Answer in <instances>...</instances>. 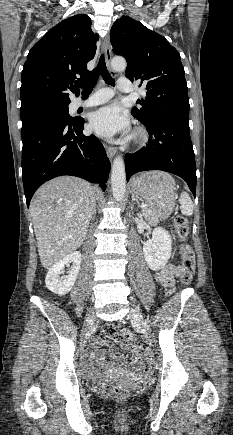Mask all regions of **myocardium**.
Masks as SVG:
<instances>
[{
  "mask_svg": "<svg viewBox=\"0 0 233 435\" xmlns=\"http://www.w3.org/2000/svg\"><path fill=\"white\" fill-rule=\"evenodd\" d=\"M147 138H148L147 132L142 128H138L135 130L131 141L134 145H140L144 143L147 140Z\"/></svg>",
  "mask_w": 233,
  "mask_h": 435,
  "instance_id": "1",
  "label": "myocardium"
}]
</instances>
